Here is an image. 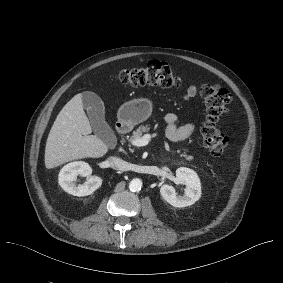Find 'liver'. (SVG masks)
Here are the masks:
<instances>
[{"label":"liver","instance_id":"1","mask_svg":"<svg viewBox=\"0 0 283 283\" xmlns=\"http://www.w3.org/2000/svg\"><path fill=\"white\" fill-rule=\"evenodd\" d=\"M82 93L74 96L60 111L49 133L45 149V167L53 169L84 158H101L110 147L97 135L85 115Z\"/></svg>","mask_w":283,"mask_h":283}]
</instances>
